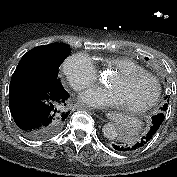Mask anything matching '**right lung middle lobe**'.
<instances>
[{
    "label": "right lung middle lobe",
    "instance_id": "right-lung-middle-lobe-1",
    "mask_svg": "<svg viewBox=\"0 0 177 177\" xmlns=\"http://www.w3.org/2000/svg\"><path fill=\"white\" fill-rule=\"evenodd\" d=\"M68 55L69 49L62 43L36 47L21 58L11 83H34L63 89L58 69Z\"/></svg>",
    "mask_w": 177,
    "mask_h": 177
}]
</instances>
